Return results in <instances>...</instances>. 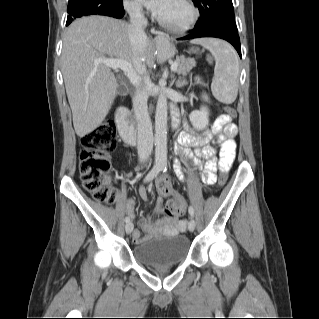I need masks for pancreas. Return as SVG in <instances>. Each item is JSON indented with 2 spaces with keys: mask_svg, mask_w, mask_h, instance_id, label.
Segmentation results:
<instances>
[{
  "mask_svg": "<svg viewBox=\"0 0 319 319\" xmlns=\"http://www.w3.org/2000/svg\"><path fill=\"white\" fill-rule=\"evenodd\" d=\"M196 65V62L193 59L181 58L178 61V67L176 72L182 74L183 76L187 75L191 69Z\"/></svg>",
  "mask_w": 319,
  "mask_h": 319,
  "instance_id": "1",
  "label": "pancreas"
}]
</instances>
